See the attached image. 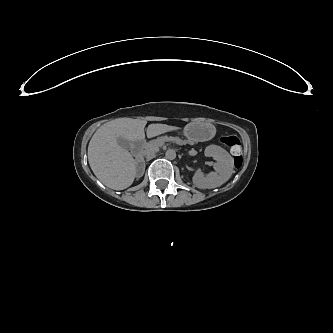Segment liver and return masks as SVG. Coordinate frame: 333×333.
Returning <instances> with one entry per match:
<instances>
[{"label": "liver", "instance_id": "6515ba94", "mask_svg": "<svg viewBox=\"0 0 333 333\" xmlns=\"http://www.w3.org/2000/svg\"><path fill=\"white\" fill-rule=\"evenodd\" d=\"M143 139L144 135L128 137L126 140L132 142ZM88 162L94 175L114 190L126 189L136 177V161L129 150L120 146L119 138L115 135L93 137L88 146Z\"/></svg>", "mask_w": 333, "mask_h": 333}]
</instances>
